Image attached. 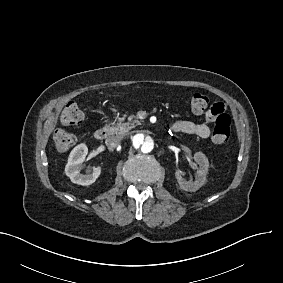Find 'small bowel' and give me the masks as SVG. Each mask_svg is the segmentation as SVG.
Masks as SVG:
<instances>
[{
    "instance_id": "obj_1",
    "label": "small bowel",
    "mask_w": 283,
    "mask_h": 283,
    "mask_svg": "<svg viewBox=\"0 0 283 283\" xmlns=\"http://www.w3.org/2000/svg\"><path fill=\"white\" fill-rule=\"evenodd\" d=\"M231 109L232 106L227 101L214 102L206 109L205 122L178 121L174 124L173 130L206 139L210 136L209 122L217 120L220 114H228Z\"/></svg>"
}]
</instances>
